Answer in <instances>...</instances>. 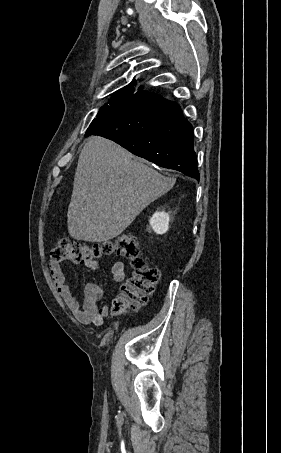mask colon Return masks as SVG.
<instances>
[{"mask_svg": "<svg viewBox=\"0 0 281 453\" xmlns=\"http://www.w3.org/2000/svg\"><path fill=\"white\" fill-rule=\"evenodd\" d=\"M100 257H120L131 261L132 275L125 281L114 305L115 311L140 303L159 280V272L146 265L135 238H115L90 244L81 239L61 238L51 253L53 262H94Z\"/></svg>", "mask_w": 281, "mask_h": 453, "instance_id": "5ec220e1", "label": "colon"}]
</instances>
